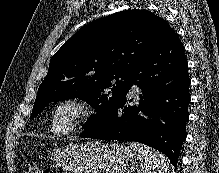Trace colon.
Segmentation results:
<instances>
[{
  "label": "colon",
  "mask_w": 219,
  "mask_h": 173,
  "mask_svg": "<svg viewBox=\"0 0 219 173\" xmlns=\"http://www.w3.org/2000/svg\"><path fill=\"white\" fill-rule=\"evenodd\" d=\"M28 173H43V170L41 165L35 162L30 165Z\"/></svg>",
  "instance_id": "5ec220e1"
}]
</instances>
